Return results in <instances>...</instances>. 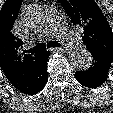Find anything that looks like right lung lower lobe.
I'll list each match as a JSON object with an SVG mask.
<instances>
[{
    "mask_svg": "<svg viewBox=\"0 0 113 113\" xmlns=\"http://www.w3.org/2000/svg\"><path fill=\"white\" fill-rule=\"evenodd\" d=\"M49 55L50 53L48 51L42 52V57L36 66L34 74L27 82L17 88L18 91L33 95L43 89L48 80L47 61Z\"/></svg>",
    "mask_w": 113,
    "mask_h": 113,
    "instance_id": "right-lung-lower-lobe-1",
    "label": "right lung lower lobe"
}]
</instances>
